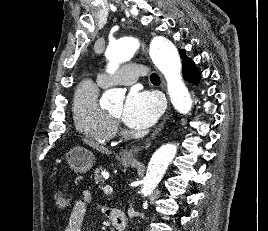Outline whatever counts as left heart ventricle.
<instances>
[{
  "label": "left heart ventricle",
  "instance_id": "obj_1",
  "mask_svg": "<svg viewBox=\"0 0 268 231\" xmlns=\"http://www.w3.org/2000/svg\"><path fill=\"white\" fill-rule=\"evenodd\" d=\"M122 109H123V103H118L114 105L113 107H111L109 112L117 117H120L122 113Z\"/></svg>",
  "mask_w": 268,
  "mask_h": 231
}]
</instances>
